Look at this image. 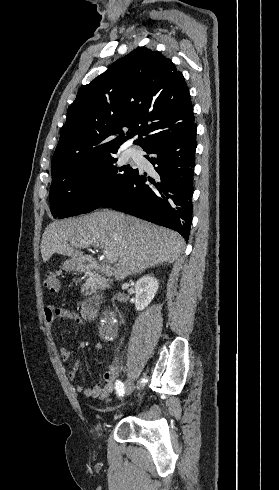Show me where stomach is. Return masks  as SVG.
Masks as SVG:
<instances>
[{
  "mask_svg": "<svg viewBox=\"0 0 279 490\" xmlns=\"http://www.w3.org/2000/svg\"><path fill=\"white\" fill-rule=\"evenodd\" d=\"M78 268V262L77 260H73V258L66 260L62 266V270H65V272H79Z\"/></svg>",
  "mask_w": 279,
  "mask_h": 490,
  "instance_id": "1",
  "label": "stomach"
}]
</instances>
